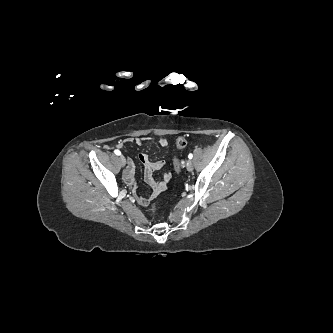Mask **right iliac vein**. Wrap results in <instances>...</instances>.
<instances>
[{
    "label": "right iliac vein",
    "instance_id": "obj_1",
    "mask_svg": "<svg viewBox=\"0 0 333 333\" xmlns=\"http://www.w3.org/2000/svg\"><path fill=\"white\" fill-rule=\"evenodd\" d=\"M119 159H120L121 165L124 167L126 165V159H125V157L123 155H121L119 157Z\"/></svg>",
    "mask_w": 333,
    "mask_h": 333
}]
</instances>
